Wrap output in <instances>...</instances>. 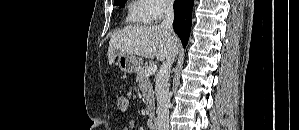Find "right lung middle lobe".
<instances>
[{"instance_id":"dd1d6c3e","label":"right lung middle lobe","mask_w":299,"mask_h":130,"mask_svg":"<svg viewBox=\"0 0 299 130\" xmlns=\"http://www.w3.org/2000/svg\"><path fill=\"white\" fill-rule=\"evenodd\" d=\"M127 0H117L114 2V5L124 6Z\"/></svg>"}]
</instances>
